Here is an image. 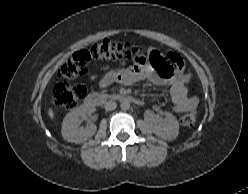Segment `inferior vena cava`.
I'll list each match as a JSON object with an SVG mask.
<instances>
[{"mask_svg":"<svg viewBox=\"0 0 248 194\" xmlns=\"http://www.w3.org/2000/svg\"><path fill=\"white\" fill-rule=\"evenodd\" d=\"M116 107H117V104H116V102H114V101H107V102L105 103V105H104V108H105V110H107V111L114 110V109H116Z\"/></svg>","mask_w":248,"mask_h":194,"instance_id":"obj_1","label":"inferior vena cava"}]
</instances>
